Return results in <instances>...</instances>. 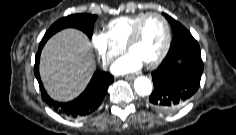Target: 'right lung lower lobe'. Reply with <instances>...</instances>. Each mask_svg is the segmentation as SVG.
<instances>
[{
    "label": "right lung lower lobe",
    "instance_id": "right-lung-lower-lobe-1",
    "mask_svg": "<svg viewBox=\"0 0 236 135\" xmlns=\"http://www.w3.org/2000/svg\"><path fill=\"white\" fill-rule=\"evenodd\" d=\"M45 43L46 41L40 42L34 66V74L39 82L43 100L59 114L71 118H81L90 115L101 104L108 86L114 81V77L108 72L96 71L87 88L78 98L68 103L56 102L47 95L39 75V59Z\"/></svg>",
    "mask_w": 236,
    "mask_h": 135
}]
</instances>
